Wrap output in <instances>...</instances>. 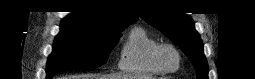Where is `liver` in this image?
Here are the masks:
<instances>
[{
  "instance_id": "1",
  "label": "liver",
  "mask_w": 255,
  "mask_h": 79,
  "mask_svg": "<svg viewBox=\"0 0 255 79\" xmlns=\"http://www.w3.org/2000/svg\"><path fill=\"white\" fill-rule=\"evenodd\" d=\"M62 79H152L148 76H127V75H116V74H109V75H100V74H82L76 76H68Z\"/></svg>"
}]
</instances>
